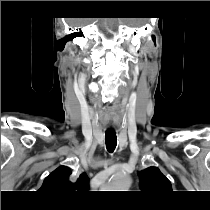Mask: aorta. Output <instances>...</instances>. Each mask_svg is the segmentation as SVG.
Segmentation results:
<instances>
[{
	"label": "aorta",
	"mask_w": 210,
	"mask_h": 210,
	"mask_svg": "<svg viewBox=\"0 0 210 210\" xmlns=\"http://www.w3.org/2000/svg\"><path fill=\"white\" fill-rule=\"evenodd\" d=\"M130 185V175L126 172L119 171L111 177L109 184L105 188L112 189V191H127Z\"/></svg>",
	"instance_id": "obj_1"
}]
</instances>
